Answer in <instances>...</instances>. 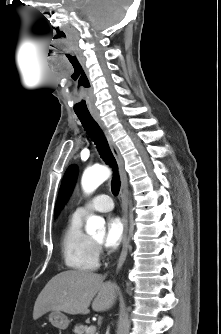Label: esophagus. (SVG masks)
Masks as SVG:
<instances>
[{
  "instance_id": "obj_1",
  "label": "esophagus",
  "mask_w": 221,
  "mask_h": 334,
  "mask_svg": "<svg viewBox=\"0 0 221 334\" xmlns=\"http://www.w3.org/2000/svg\"><path fill=\"white\" fill-rule=\"evenodd\" d=\"M95 121L98 123L102 131L104 132V135L107 139V142L109 144L110 150L117 162L118 171L120 175L121 180V188H120V198H121V214H122V223L124 226V236H123V242H122V250L118 259L117 263V271H119L126 259L127 253H128V246H129V237H128V198H127V186H128V179H127V173L124 168V161L123 158L115 144V142L112 139V136L110 132L108 131L107 127L105 126L104 122L102 121L101 117L99 115H92Z\"/></svg>"
}]
</instances>
